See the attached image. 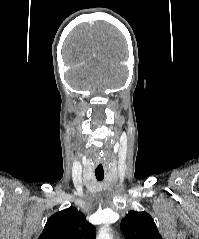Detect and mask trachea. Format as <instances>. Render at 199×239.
<instances>
[{"instance_id": "trachea-1", "label": "trachea", "mask_w": 199, "mask_h": 239, "mask_svg": "<svg viewBox=\"0 0 199 239\" xmlns=\"http://www.w3.org/2000/svg\"><path fill=\"white\" fill-rule=\"evenodd\" d=\"M95 176L98 181H102L104 179V174L103 173H95Z\"/></svg>"}]
</instances>
